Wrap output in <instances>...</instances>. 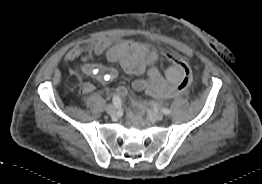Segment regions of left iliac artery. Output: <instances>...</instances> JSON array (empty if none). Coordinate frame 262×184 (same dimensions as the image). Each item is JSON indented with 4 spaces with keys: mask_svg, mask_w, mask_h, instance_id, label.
Here are the masks:
<instances>
[{
    "mask_svg": "<svg viewBox=\"0 0 262 184\" xmlns=\"http://www.w3.org/2000/svg\"><path fill=\"white\" fill-rule=\"evenodd\" d=\"M161 111L165 114V115H170L171 111L167 108H162Z\"/></svg>",
    "mask_w": 262,
    "mask_h": 184,
    "instance_id": "left-iliac-artery-1",
    "label": "left iliac artery"
}]
</instances>
